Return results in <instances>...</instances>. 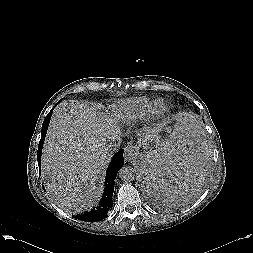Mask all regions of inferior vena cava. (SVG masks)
I'll return each instance as SVG.
<instances>
[{
    "label": "inferior vena cava",
    "instance_id": "1",
    "mask_svg": "<svg viewBox=\"0 0 253 253\" xmlns=\"http://www.w3.org/2000/svg\"><path fill=\"white\" fill-rule=\"evenodd\" d=\"M120 143L121 142L118 141L117 143L116 142H113V143L111 142L110 144H108L107 147H106L107 152H109L110 154L117 152L120 148Z\"/></svg>",
    "mask_w": 253,
    "mask_h": 253
}]
</instances>
